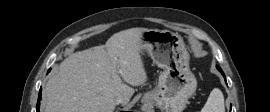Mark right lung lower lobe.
I'll return each instance as SVG.
<instances>
[{"label": "right lung lower lobe", "mask_w": 270, "mask_h": 112, "mask_svg": "<svg viewBox=\"0 0 270 112\" xmlns=\"http://www.w3.org/2000/svg\"><path fill=\"white\" fill-rule=\"evenodd\" d=\"M50 71V70H49ZM41 91L42 89L40 88V92H39V97H38V102H37V112H39V107H40V100H41Z\"/></svg>", "instance_id": "1"}]
</instances>
